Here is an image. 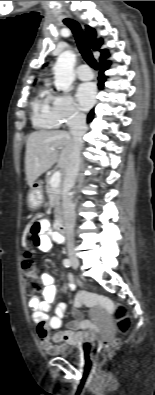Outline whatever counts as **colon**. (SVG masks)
<instances>
[{
    "label": "colon",
    "mask_w": 155,
    "mask_h": 395,
    "mask_svg": "<svg viewBox=\"0 0 155 395\" xmlns=\"http://www.w3.org/2000/svg\"><path fill=\"white\" fill-rule=\"evenodd\" d=\"M22 280L27 294H35L42 289V282L38 275V270L35 262L32 260V250L27 248L25 250V259L22 263ZM75 283H80V280H75ZM115 319L117 328L121 333H125L130 328V318L126 307L117 305L115 308ZM117 343L114 341H104L98 348V353L101 357H105L110 349Z\"/></svg>",
    "instance_id": "colon-1"
}]
</instances>
